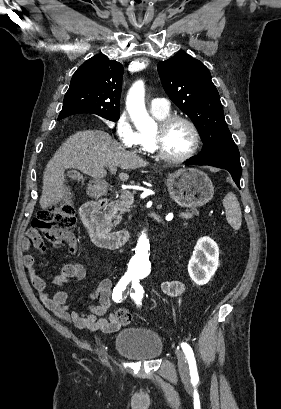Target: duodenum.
Returning <instances> with one entry per match:
<instances>
[{
  "label": "duodenum",
  "instance_id": "duodenum-1",
  "mask_svg": "<svg viewBox=\"0 0 281 409\" xmlns=\"http://www.w3.org/2000/svg\"><path fill=\"white\" fill-rule=\"evenodd\" d=\"M109 188L100 186L96 192L99 201H89L82 205L80 215L85 224L93 244L100 249H117L130 240V233L127 231L109 232L103 225L101 208L103 203L111 200Z\"/></svg>",
  "mask_w": 281,
  "mask_h": 409
}]
</instances>
